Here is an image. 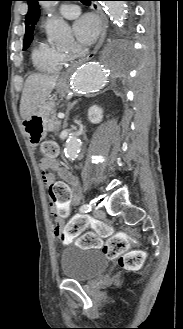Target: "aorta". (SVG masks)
<instances>
[{"label":"aorta","instance_id":"762f6f07","mask_svg":"<svg viewBox=\"0 0 183 329\" xmlns=\"http://www.w3.org/2000/svg\"><path fill=\"white\" fill-rule=\"evenodd\" d=\"M57 1H44L42 5L49 9L53 7ZM103 6L109 15L120 27L124 25L127 2L124 1H105ZM48 38L57 46L67 48L73 42V36L69 25L55 18L48 19L46 26ZM109 66L105 59L99 62H92L79 67L72 76V87L81 92L92 93L100 91L107 80L106 69ZM81 142L79 138L70 133L65 144V156L74 160L80 151Z\"/></svg>","mask_w":183,"mask_h":329}]
</instances>
